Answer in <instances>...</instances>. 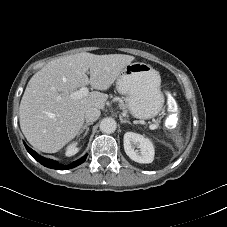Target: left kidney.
<instances>
[{"label":"left kidney","instance_id":"5707ae66","mask_svg":"<svg viewBox=\"0 0 227 227\" xmlns=\"http://www.w3.org/2000/svg\"><path fill=\"white\" fill-rule=\"evenodd\" d=\"M124 150L135 162L151 163L154 160L155 150L152 142L140 134L126 132L124 134Z\"/></svg>","mask_w":227,"mask_h":227}]
</instances>
